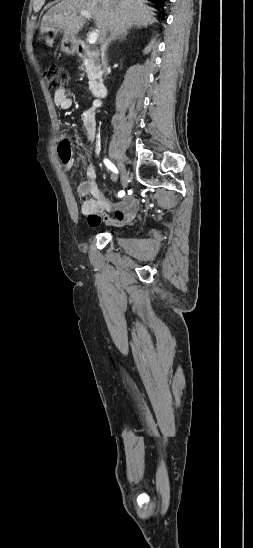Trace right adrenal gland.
<instances>
[{
  "instance_id": "right-adrenal-gland-1",
  "label": "right adrenal gland",
  "mask_w": 253,
  "mask_h": 548,
  "mask_svg": "<svg viewBox=\"0 0 253 548\" xmlns=\"http://www.w3.org/2000/svg\"><path fill=\"white\" fill-rule=\"evenodd\" d=\"M128 31L125 29V30H122V31H119V32H116V33H112L110 35V37L108 38L107 42H106V49L109 47L110 43L112 41H115V40H125L127 35H128Z\"/></svg>"
}]
</instances>
